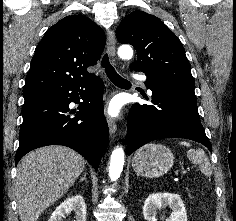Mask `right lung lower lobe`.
Here are the masks:
<instances>
[{
  "mask_svg": "<svg viewBox=\"0 0 236 221\" xmlns=\"http://www.w3.org/2000/svg\"><path fill=\"white\" fill-rule=\"evenodd\" d=\"M103 88L102 80L92 78L23 95L15 163L36 148L64 145L80 153L97 170L109 137L103 116ZM71 102L80 104L75 117L68 114Z\"/></svg>",
  "mask_w": 236,
  "mask_h": 221,
  "instance_id": "obj_1",
  "label": "right lung lower lobe"
}]
</instances>
